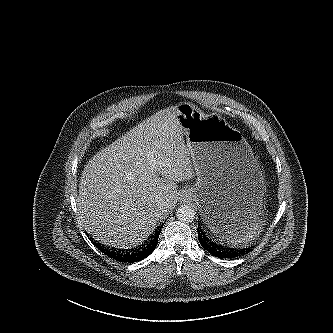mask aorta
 <instances>
[{"mask_svg":"<svg viewBox=\"0 0 333 333\" xmlns=\"http://www.w3.org/2000/svg\"><path fill=\"white\" fill-rule=\"evenodd\" d=\"M176 217L181 222L190 223L195 218V211L188 205H182L177 209Z\"/></svg>","mask_w":333,"mask_h":333,"instance_id":"1","label":"aorta"}]
</instances>
